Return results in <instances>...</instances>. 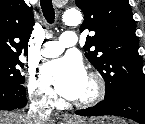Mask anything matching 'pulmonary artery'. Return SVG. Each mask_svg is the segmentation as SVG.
I'll use <instances>...</instances> for the list:
<instances>
[{
  "label": "pulmonary artery",
  "mask_w": 145,
  "mask_h": 124,
  "mask_svg": "<svg viewBox=\"0 0 145 124\" xmlns=\"http://www.w3.org/2000/svg\"><path fill=\"white\" fill-rule=\"evenodd\" d=\"M77 37L73 31H65L61 34L59 41H48L43 44L42 55L44 57H55L64 52L66 48L76 45Z\"/></svg>",
  "instance_id": "1"
}]
</instances>
